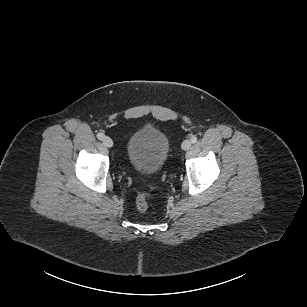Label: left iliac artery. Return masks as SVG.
Returning <instances> with one entry per match:
<instances>
[{"instance_id":"left-iliac-artery-1","label":"left iliac artery","mask_w":307,"mask_h":307,"mask_svg":"<svg viewBox=\"0 0 307 307\" xmlns=\"http://www.w3.org/2000/svg\"><path fill=\"white\" fill-rule=\"evenodd\" d=\"M191 142H192V143H196V142H197V137H196V136H193V137L191 138Z\"/></svg>"}]
</instances>
